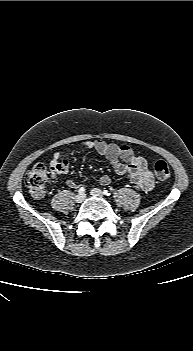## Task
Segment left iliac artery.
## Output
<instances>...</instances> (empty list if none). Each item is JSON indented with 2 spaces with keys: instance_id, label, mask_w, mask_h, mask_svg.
<instances>
[{
  "instance_id": "obj_1",
  "label": "left iliac artery",
  "mask_w": 193,
  "mask_h": 351,
  "mask_svg": "<svg viewBox=\"0 0 193 351\" xmlns=\"http://www.w3.org/2000/svg\"><path fill=\"white\" fill-rule=\"evenodd\" d=\"M103 194L106 195V196H109L110 195V192L108 190H104L103 191Z\"/></svg>"
}]
</instances>
